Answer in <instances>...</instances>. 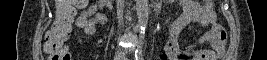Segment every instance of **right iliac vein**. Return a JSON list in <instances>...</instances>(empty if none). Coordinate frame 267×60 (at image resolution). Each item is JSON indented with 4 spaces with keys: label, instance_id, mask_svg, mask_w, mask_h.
<instances>
[{
    "label": "right iliac vein",
    "instance_id": "1",
    "mask_svg": "<svg viewBox=\"0 0 267 60\" xmlns=\"http://www.w3.org/2000/svg\"><path fill=\"white\" fill-rule=\"evenodd\" d=\"M117 57H118L119 60H121L122 54L118 53Z\"/></svg>",
    "mask_w": 267,
    "mask_h": 60
}]
</instances>
